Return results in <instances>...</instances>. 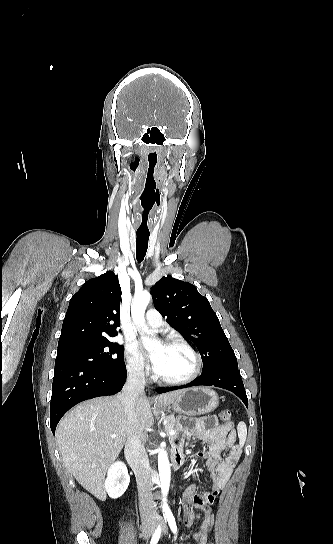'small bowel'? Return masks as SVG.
<instances>
[{
    "label": "small bowel",
    "mask_w": 333,
    "mask_h": 544,
    "mask_svg": "<svg viewBox=\"0 0 333 544\" xmlns=\"http://www.w3.org/2000/svg\"><path fill=\"white\" fill-rule=\"evenodd\" d=\"M191 438L199 439L206 446L196 454V457L205 458V466L210 473L211 489L198 493L196 486L189 484L183 492V512L187 524L193 523L196 517L201 520L194 539L197 544H206L212 526L210 505L218 492L227 485L240 458L241 445L236 443V432L232 426L218 424L213 416L193 419L191 425L183 429V437L174 441V450L182 454L184 441ZM225 451L227 454L224 456Z\"/></svg>",
    "instance_id": "1"
}]
</instances>
